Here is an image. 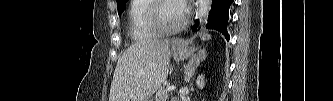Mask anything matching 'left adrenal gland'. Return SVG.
I'll return each instance as SVG.
<instances>
[{"label": "left adrenal gland", "mask_w": 333, "mask_h": 101, "mask_svg": "<svg viewBox=\"0 0 333 101\" xmlns=\"http://www.w3.org/2000/svg\"><path fill=\"white\" fill-rule=\"evenodd\" d=\"M207 57V53L205 49H200L195 57H193L187 67L185 68V83H188L192 76L194 75L196 69L199 67L200 63H202Z\"/></svg>", "instance_id": "left-adrenal-gland-1"}]
</instances>
